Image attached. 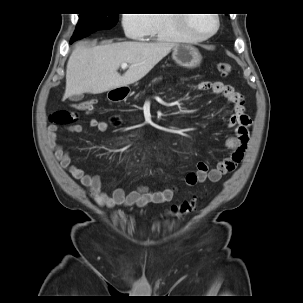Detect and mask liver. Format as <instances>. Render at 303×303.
Instances as JSON below:
<instances>
[{
	"label": "liver",
	"mask_w": 303,
	"mask_h": 303,
	"mask_svg": "<svg viewBox=\"0 0 303 303\" xmlns=\"http://www.w3.org/2000/svg\"><path fill=\"white\" fill-rule=\"evenodd\" d=\"M176 46L170 42H106L95 47L83 43L72 51L66 69L63 99L83 93L99 94L142 79ZM129 65L125 74L118 69Z\"/></svg>",
	"instance_id": "1"
}]
</instances>
